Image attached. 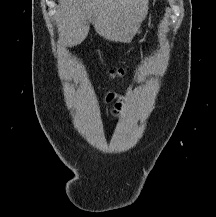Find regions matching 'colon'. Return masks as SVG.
Segmentation results:
<instances>
[{
  "label": "colon",
  "instance_id": "1",
  "mask_svg": "<svg viewBox=\"0 0 216 217\" xmlns=\"http://www.w3.org/2000/svg\"><path fill=\"white\" fill-rule=\"evenodd\" d=\"M123 73H124V68H117V69L112 70L113 75H121Z\"/></svg>",
  "mask_w": 216,
  "mask_h": 217
}]
</instances>
